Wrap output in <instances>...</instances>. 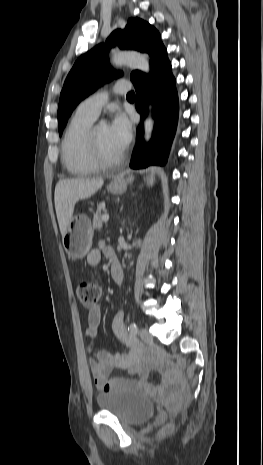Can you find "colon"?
<instances>
[{"label": "colon", "instance_id": "5ec220e1", "mask_svg": "<svg viewBox=\"0 0 263 465\" xmlns=\"http://www.w3.org/2000/svg\"><path fill=\"white\" fill-rule=\"evenodd\" d=\"M100 287L89 281L81 282L77 288V295L81 304L86 308H93L96 306L100 298ZM182 384L179 380L175 379L170 384L166 385L158 397L165 400L167 409L174 413L182 404Z\"/></svg>", "mask_w": 263, "mask_h": 465}]
</instances>
